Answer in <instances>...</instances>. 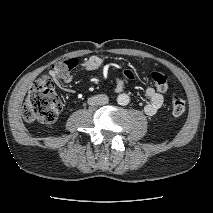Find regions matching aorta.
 I'll return each mask as SVG.
<instances>
[{
    "instance_id": "762f6f07",
    "label": "aorta",
    "mask_w": 213,
    "mask_h": 213,
    "mask_svg": "<svg viewBox=\"0 0 213 213\" xmlns=\"http://www.w3.org/2000/svg\"><path fill=\"white\" fill-rule=\"evenodd\" d=\"M117 102L119 105H122V106L128 105L130 102V97L125 93L120 94L117 97Z\"/></svg>"
}]
</instances>
